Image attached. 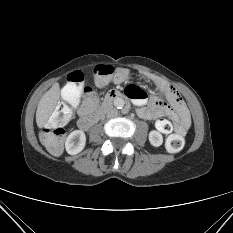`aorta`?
I'll return each mask as SVG.
<instances>
[{
  "label": "aorta",
  "instance_id": "762f6f07",
  "mask_svg": "<svg viewBox=\"0 0 233 233\" xmlns=\"http://www.w3.org/2000/svg\"><path fill=\"white\" fill-rule=\"evenodd\" d=\"M124 105H125V101L123 98L118 97V98L114 99V106L116 108L122 109L124 107Z\"/></svg>",
  "mask_w": 233,
  "mask_h": 233
}]
</instances>
